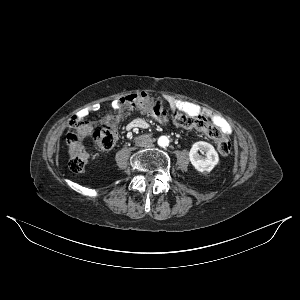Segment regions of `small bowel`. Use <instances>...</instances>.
I'll return each mask as SVG.
<instances>
[{
  "instance_id": "1",
  "label": "small bowel",
  "mask_w": 300,
  "mask_h": 300,
  "mask_svg": "<svg viewBox=\"0 0 300 300\" xmlns=\"http://www.w3.org/2000/svg\"><path fill=\"white\" fill-rule=\"evenodd\" d=\"M167 102L171 109H177L191 115L204 114L215 125H217L224 134H230L232 132V128L230 124L224 118H222L221 116H219L218 114H216L215 112L209 109H204L198 104L190 101H185V100H180L175 98H168ZM92 110L93 108H87L82 110L78 116V119L84 118ZM128 127L131 129L133 128L146 129L148 128V123L146 120L142 118H136L128 124Z\"/></svg>"
}]
</instances>
